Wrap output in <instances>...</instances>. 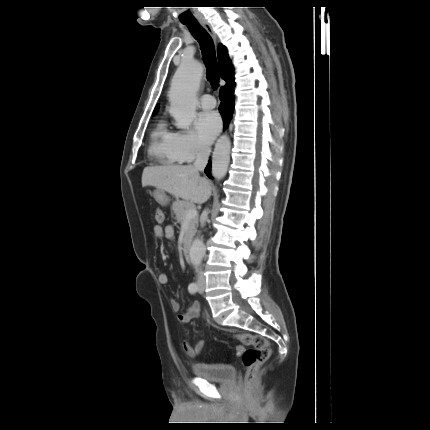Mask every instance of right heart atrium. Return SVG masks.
<instances>
[{"mask_svg":"<svg viewBox=\"0 0 430 430\" xmlns=\"http://www.w3.org/2000/svg\"><path fill=\"white\" fill-rule=\"evenodd\" d=\"M174 148L182 162H191L208 154L209 148L202 144L192 130L174 133Z\"/></svg>","mask_w":430,"mask_h":430,"instance_id":"1","label":"right heart atrium"}]
</instances>
